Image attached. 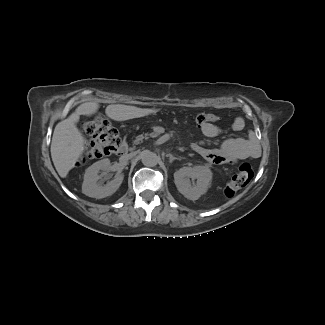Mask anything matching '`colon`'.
Listing matches in <instances>:
<instances>
[{
	"label": "colon",
	"instance_id": "1",
	"mask_svg": "<svg viewBox=\"0 0 325 325\" xmlns=\"http://www.w3.org/2000/svg\"><path fill=\"white\" fill-rule=\"evenodd\" d=\"M218 117L214 114H199L195 121L199 127L206 123H215ZM82 130L89 136L84 159L100 158L115 152L120 144L117 130L104 117L96 116L82 125ZM254 176L253 168L249 163H242L226 187L227 195L247 186Z\"/></svg>",
	"mask_w": 325,
	"mask_h": 325
}]
</instances>
